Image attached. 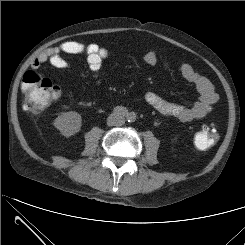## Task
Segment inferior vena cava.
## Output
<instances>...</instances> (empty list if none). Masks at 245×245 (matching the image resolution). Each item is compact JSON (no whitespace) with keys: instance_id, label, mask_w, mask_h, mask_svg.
<instances>
[{"instance_id":"602c4592","label":"inferior vena cava","mask_w":245,"mask_h":245,"mask_svg":"<svg viewBox=\"0 0 245 245\" xmlns=\"http://www.w3.org/2000/svg\"><path fill=\"white\" fill-rule=\"evenodd\" d=\"M124 123V118L120 115H111L109 117V125L120 126Z\"/></svg>"}]
</instances>
